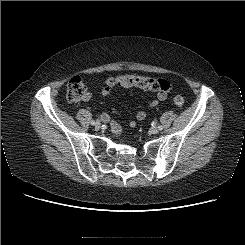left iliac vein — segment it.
Returning <instances> with one entry per match:
<instances>
[{
	"instance_id": "obj_1",
	"label": "left iliac vein",
	"mask_w": 245,
	"mask_h": 245,
	"mask_svg": "<svg viewBox=\"0 0 245 245\" xmlns=\"http://www.w3.org/2000/svg\"><path fill=\"white\" fill-rule=\"evenodd\" d=\"M158 132H159V129L156 128V127H152V128L150 129V133H151V134H157Z\"/></svg>"
}]
</instances>
